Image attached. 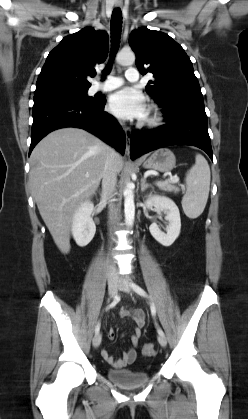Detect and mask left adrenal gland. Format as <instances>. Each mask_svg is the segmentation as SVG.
<instances>
[{
    "label": "left adrenal gland",
    "instance_id": "1",
    "mask_svg": "<svg viewBox=\"0 0 248 419\" xmlns=\"http://www.w3.org/2000/svg\"><path fill=\"white\" fill-rule=\"evenodd\" d=\"M148 187H152L150 184L146 183V178H142L141 179V191L143 192L144 190H146Z\"/></svg>",
    "mask_w": 248,
    "mask_h": 419
}]
</instances>
